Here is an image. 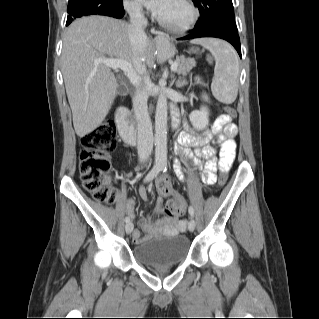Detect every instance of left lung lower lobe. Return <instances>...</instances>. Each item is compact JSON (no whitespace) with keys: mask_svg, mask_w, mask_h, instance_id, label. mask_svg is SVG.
<instances>
[{"mask_svg":"<svg viewBox=\"0 0 319 319\" xmlns=\"http://www.w3.org/2000/svg\"><path fill=\"white\" fill-rule=\"evenodd\" d=\"M200 37H215L228 41L234 46L238 54L241 57L240 38L238 36L237 29H232L225 26L213 25L203 28H196L193 32L185 37L179 38V40L194 39Z\"/></svg>","mask_w":319,"mask_h":319,"instance_id":"1","label":"left lung lower lobe"}]
</instances>
